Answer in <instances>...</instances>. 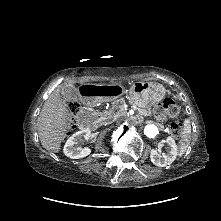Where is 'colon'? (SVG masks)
Masks as SVG:
<instances>
[{
	"instance_id": "obj_1",
	"label": "colon",
	"mask_w": 221,
	"mask_h": 221,
	"mask_svg": "<svg viewBox=\"0 0 221 221\" xmlns=\"http://www.w3.org/2000/svg\"><path fill=\"white\" fill-rule=\"evenodd\" d=\"M68 110L71 114H76L79 111V104L75 101L67 103ZM180 109L176 101L173 99L167 98L160 102L155 109V114L159 119H165L167 117L177 118L179 115ZM183 132V123L174 119L170 123V133L174 137H179Z\"/></svg>"
}]
</instances>
